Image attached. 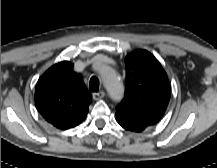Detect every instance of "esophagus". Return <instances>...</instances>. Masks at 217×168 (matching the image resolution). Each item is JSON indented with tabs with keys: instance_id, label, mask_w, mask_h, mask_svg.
Wrapping results in <instances>:
<instances>
[{
	"instance_id": "34e87169",
	"label": "esophagus",
	"mask_w": 217,
	"mask_h": 168,
	"mask_svg": "<svg viewBox=\"0 0 217 168\" xmlns=\"http://www.w3.org/2000/svg\"><path fill=\"white\" fill-rule=\"evenodd\" d=\"M104 96H105L104 91H99V92L93 93V99L94 100H101L102 98H104Z\"/></svg>"
}]
</instances>
